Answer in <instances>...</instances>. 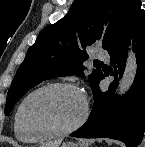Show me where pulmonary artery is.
Returning <instances> with one entry per match:
<instances>
[{
    "label": "pulmonary artery",
    "mask_w": 145,
    "mask_h": 147,
    "mask_svg": "<svg viewBox=\"0 0 145 147\" xmlns=\"http://www.w3.org/2000/svg\"><path fill=\"white\" fill-rule=\"evenodd\" d=\"M95 55L98 59H102V60H108L109 59V55L107 52L102 51V50H97L95 52Z\"/></svg>",
    "instance_id": "obj_1"
}]
</instances>
